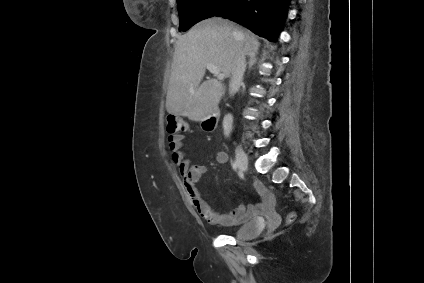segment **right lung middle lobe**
Wrapping results in <instances>:
<instances>
[{
    "label": "right lung middle lobe",
    "instance_id": "right-lung-middle-lobe-1",
    "mask_svg": "<svg viewBox=\"0 0 424 283\" xmlns=\"http://www.w3.org/2000/svg\"><path fill=\"white\" fill-rule=\"evenodd\" d=\"M234 0H177L180 31H187L194 24L226 10Z\"/></svg>",
    "mask_w": 424,
    "mask_h": 283
}]
</instances>
